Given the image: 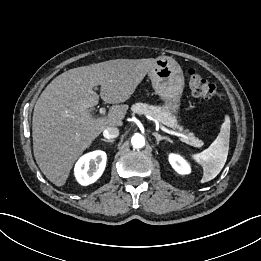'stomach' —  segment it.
Instances as JSON below:
<instances>
[{
    "mask_svg": "<svg viewBox=\"0 0 261 261\" xmlns=\"http://www.w3.org/2000/svg\"><path fill=\"white\" fill-rule=\"evenodd\" d=\"M148 76L155 93L164 100L165 108L178 114L185 84L180 65L171 57L160 56Z\"/></svg>",
    "mask_w": 261,
    "mask_h": 261,
    "instance_id": "1",
    "label": "stomach"
}]
</instances>
